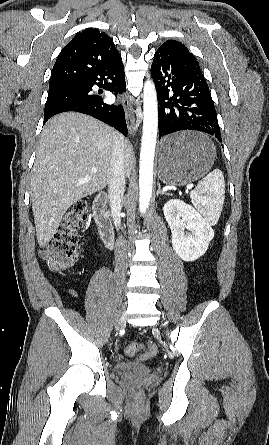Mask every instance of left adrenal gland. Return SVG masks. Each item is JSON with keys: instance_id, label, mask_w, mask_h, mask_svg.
<instances>
[{"instance_id": "obj_1", "label": "left adrenal gland", "mask_w": 269, "mask_h": 445, "mask_svg": "<svg viewBox=\"0 0 269 445\" xmlns=\"http://www.w3.org/2000/svg\"><path fill=\"white\" fill-rule=\"evenodd\" d=\"M171 195L170 193H167V192H164V191H162L161 190V186H160V183H158V190H157V195Z\"/></svg>"}]
</instances>
